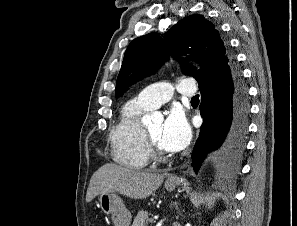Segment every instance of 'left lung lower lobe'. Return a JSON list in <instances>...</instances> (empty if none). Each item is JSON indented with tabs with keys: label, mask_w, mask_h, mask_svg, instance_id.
I'll return each instance as SVG.
<instances>
[{
	"label": "left lung lower lobe",
	"mask_w": 297,
	"mask_h": 226,
	"mask_svg": "<svg viewBox=\"0 0 297 226\" xmlns=\"http://www.w3.org/2000/svg\"><path fill=\"white\" fill-rule=\"evenodd\" d=\"M198 83L203 124L193 150L194 169L207 152L220 146L225 160L235 168L244 152L250 110L241 72L232 58L230 69Z\"/></svg>",
	"instance_id": "left-lung-lower-lobe-1"
}]
</instances>
